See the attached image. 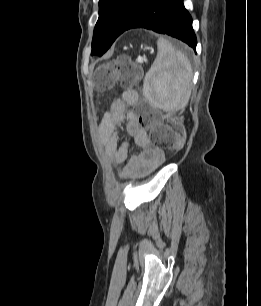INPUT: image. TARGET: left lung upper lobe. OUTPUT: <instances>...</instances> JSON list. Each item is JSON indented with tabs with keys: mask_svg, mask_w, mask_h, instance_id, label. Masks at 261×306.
<instances>
[{
	"mask_svg": "<svg viewBox=\"0 0 261 306\" xmlns=\"http://www.w3.org/2000/svg\"><path fill=\"white\" fill-rule=\"evenodd\" d=\"M145 0H100L99 18L94 28L91 55L101 56L124 32Z\"/></svg>",
	"mask_w": 261,
	"mask_h": 306,
	"instance_id": "left-lung-upper-lobe-1",
	"label": "left lung upper lobe"
}]
</instances>
